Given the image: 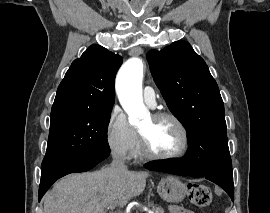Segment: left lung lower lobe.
I'll list each match as a JSON object with an SVG mask.
<instances>
[{"label": "left lung lower lobe", "instance_id": "1", "mask_svg": "<svg viewBox=\"0 0 270 213\" xmlns=\"http://www.w3.org/2000/svg\"><path fill=\"white\" fill-rule=\"evenodd\" d=\"M149 170L165 172L182 176L204 177L222 187L234 201L233 171L215 170L204 174L202 168L197 164L194 153L188 144V152L182 159L166 163L150 165Z\"/></svg>", "mask_w": 270, "mask_h": 213}]
</instances>
